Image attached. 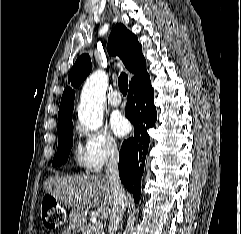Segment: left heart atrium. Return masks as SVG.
Here are the masks:
<instances>
[{
  "instance_id": "obj_1",
  "label": "left heart atrium",
  "mask_w": 241,
  "mask_h": 234,
  "mask_svg": "<svg viewBox=\"0 0 241 234\" xmlns=\"http://www.w3.org/2000/svg\"><path fill=\"white\" fill-rule=\"evenodd\" d=\"M110 125L113 132L119 137L126 135L130 130V124L128 120L120 113H114L111 116Z\"/></svg>"
}]
</instances>
